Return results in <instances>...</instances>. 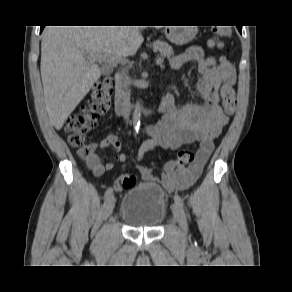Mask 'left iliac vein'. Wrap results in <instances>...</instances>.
Returning a JSON list of instances; mask_svg holds the SVG:
<instances>
[{"label":"left iliac vein","mask_w":292,"mask_h":292,"mask_svg":"<svg viewBox=\"0 0 292 292\" xmlns=\"http://www.w3.org/2000/svg\"><path fill=\"white\" fill-rule=\"evenodd\" d=\"M172 211H173L174 218L176 222L178 223L182 233L186 235L188 228H187L186 217H185L182 207L179 206L177 203H174L172 205Z\"/></svg>","instance_id":"obj_1"}]
</instances>
